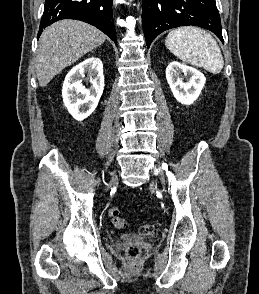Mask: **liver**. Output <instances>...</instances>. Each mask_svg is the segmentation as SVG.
<instances>
[{
    "mask_svg": "<svg viewBox=\"0 0 259 294\" xmlns=\"http://www.w3.org/2000/svg\"><path fill=\"white\" fill-rule=\"evenodd\" d=\"M105 40L103 32L82 21L65 19L47 27L35 59L39 85L45 87L55 75Z\"/></svg>",
    "mask_w": 259,
    "mask_h": 294,
    "instance_id": "1",
    "label": "liver"
}]
</instances>
